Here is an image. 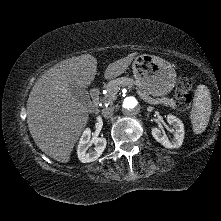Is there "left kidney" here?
Listing matches in <instances>:
<instances>
[{
    "mask_svg": "<svg viewBox=\"0 0 221 221\" xmlns=\"http://www.w3.org/2000/svg\"><path fill=\"white\" fill-rule=\"evenodd\" d=\"M167 122L173 126L175 136L173 140H169V138L162 133L161 129L157 127L152 128V136L157 142L161 143L166 148H179L184 139V125L179 118L170 114L167 116Z\"/></svg>",
    "mask_w": 221,
    "mask_h": 221,
    "instance_id": "obj_1",
    "label": "left kidney"
}]
</instances>
